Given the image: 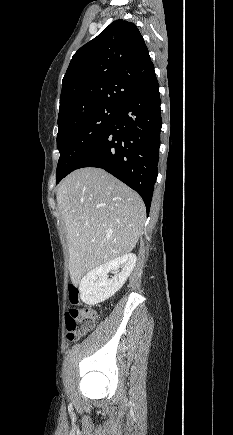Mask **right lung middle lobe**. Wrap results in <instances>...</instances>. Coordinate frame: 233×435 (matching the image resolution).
<instances>
[{
	"label": "right lung middle lobe",
	"instance_id": "dd1d6c3e",
	"mask_svg": "<svg viewBox=\"0 0 233 435\" xmlns=\"http://www.w3.org/2000/svg\"><path fill=\"white\" fill-rule=\"evenodd\" d=\"M120 107L99 106L58 123L56 183L103 136Z\"/></svg>",
	"mask_w": 233,
	"mask_h": 435
}]
</instances>
